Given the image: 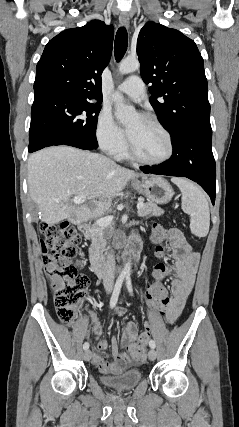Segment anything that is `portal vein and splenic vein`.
Returning <instances> with one entry per match:
<instances>
[{
	"label": "portal vein and splenic vein",
	"instance_id": "portal-vein-and-splenic-vein-1",
	"mask_svg": "<svg viewBox=\"0 0 239 427\" xmlns=\"http://www.w3.org/2000/svg\"><path fill=\"white\" fill-rule=\"evenodd\" d=\"M85 199H86V197H85V196H75V197H74V199H73V201H74V203H76V204H80V203L84 202V201H85ZM143 207H144V203L139 202V203L137 204V209H138V210L142 209ZM112 220H113V216H107V217H103V218L98 219V220L95 222V224H96L97 226H99V227H108V226H110V224H111Z\"/></svg>",
	"mask_w": 239,
	"mask_h": 427
}]
</instances>
